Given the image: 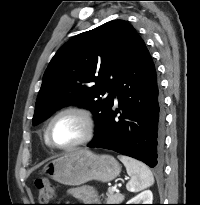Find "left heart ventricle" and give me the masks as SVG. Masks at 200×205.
<instances>
[{"label": "left heart ventricle", "mask_w": 200, "mask_h": 205, "mask_svg": "<svg viewBox=\"0 0 200 205\" xmlns=\"http://www.w3.org/2000/svg\"><path fill=\"white\" fill-rule=\"evenodd\" d=\"M84 134L82 120L73 114H67L55 121L51 135L55 143L69 145L79 140Z\"/></svg>", "instance_id": "obj_1"}]
</instances>
